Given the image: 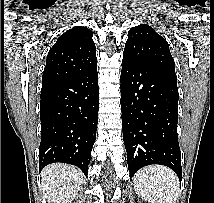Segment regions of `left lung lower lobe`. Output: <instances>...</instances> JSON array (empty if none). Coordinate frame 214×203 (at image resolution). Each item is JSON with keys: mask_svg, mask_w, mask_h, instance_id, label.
<instances>
[{"mask_svg": "<svg viewBox=\"0 0 214 203\" xmlns=\"http://www.w3.org/2000/svg\"><path fill=\"white\" fill-rule=\"evenodd\" d=\"M178 96L176 74L123 55L121 111L130 178L144 166L160 164L181 182Z\"/></svg>", "mask_w": 214, "mask_h": 203, "instance_id": "obj_1", "label": "left lung lower lobe"}]
</instances>
